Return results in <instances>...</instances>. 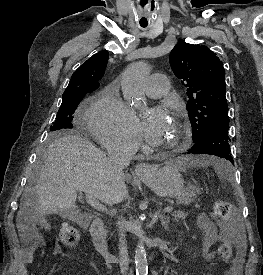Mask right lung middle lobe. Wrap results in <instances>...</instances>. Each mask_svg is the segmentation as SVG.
Segmentation results:
<instances>
[{
    "label": "right lung middle lobe",
    "mask_w": 263,
    "mask_h": 275,
    "mask_svg": "<svg viewBox=\"0 0 263 275\" xmlns=\"http://www.w3.org/2000/svg\"><path fill=\"white\" fill-rule=\"evenodd\" d=\"M88 92L89 91L82 90L63 94L62 103L60 109L58 110L55 123L50 127L51 131L73 128L71 123L73 114L83 96Z\"/></svg>",
    "instance_id": "1"
}]
</instances>
